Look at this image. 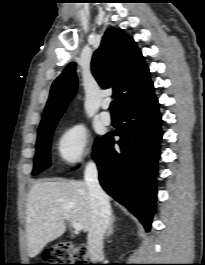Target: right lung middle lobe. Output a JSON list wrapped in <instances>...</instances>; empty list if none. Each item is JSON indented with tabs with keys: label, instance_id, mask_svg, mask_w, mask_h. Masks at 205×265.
<instances>
[{
	"label": "right lung middle lobe",
	"instance_id": "1",
	"mask_svg": "<svg viewBox=\"0 0 205 265\" xmlns=\"http://www.w3.org/2000/svg\"><path fill=\"white\" fill-rule=\"evenodd\" d=\"M56 124H52L40 131H38V139L36 144V154L34 158V168L32 175L39 174L44 169L50 166V144L53 130ZM102 137L95 141L94 149L100 143Z\"/></svg>",
	"mask_w": 205,
	"mask_h": 265
}]
</instances>
